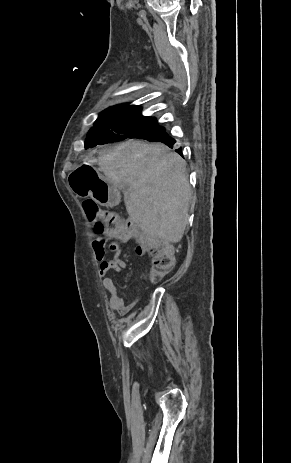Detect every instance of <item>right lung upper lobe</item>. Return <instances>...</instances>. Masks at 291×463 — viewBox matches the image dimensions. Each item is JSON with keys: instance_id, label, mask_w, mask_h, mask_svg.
<instances>
[{"instance_id": "obj_1", "label": "right lung upper lobe", "mask_w": 291, "mask_h": 463, "mask_svg": "<svg viewBox=\"0 0 291 463\" xmlns=\"http://www.w3.org/2000/svg\"><path fill=\"white\" fill-rule=\"evenodd\" d=\"M107 114H114V115H125V116H139V117H144L140 114L141 108L139 106H129L127 104L124 105H118V106H113L105 111H103Z\"/></svg>"}]
</instances>
